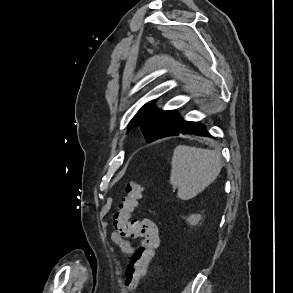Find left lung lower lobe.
<instances>
[{"instance_id": "1", "label": "left lung lower lobe", "mask_w": 293, "mask_h": 293, "mask_svg": "<svg viewBox=\"0 0 293 293\" xmlns=\"http://www.w3.org/2000/svg\"><path fill=\"white\" fill-rule=\"evenodd\" d=\"M179 134H196L203 136H210L206 127L199 122L180 120V122L166 134V136H173ZM165 137V136H164Z\"/></svg>"}]
</instances>
